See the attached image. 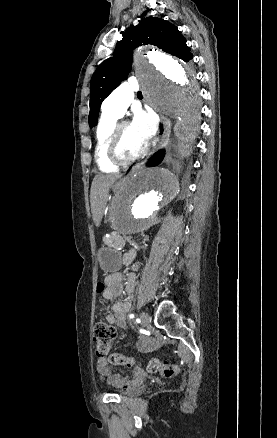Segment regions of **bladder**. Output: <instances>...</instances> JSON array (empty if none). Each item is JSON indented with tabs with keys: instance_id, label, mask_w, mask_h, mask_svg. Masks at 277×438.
Masks as SVG:
<instances>
[{
	"instance_id": "bladder-1",
	"label": "bladder",
	"mask_w": 277,
	"mask_h": 438,
	"mask_svg": "<svg viewBox=\"0 0 277 438\" xmlns=\"http://www.w3.org/2000/svg\"><path fill=\"white\" fill-rule=\"evenodd\" d=\"M142 382V381H141ZM140 383L139 382H129L125 389L119 390L118 394L121 397H131L135 396L138 392Z\"/></svg>"
}]
</instances>
